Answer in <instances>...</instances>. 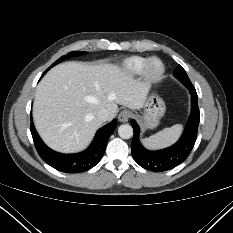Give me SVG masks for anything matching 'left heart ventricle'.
Masks as SVG:
<instances>
[{"mask_svg": "<svg viewBox=\"0 0 233 233\" xmlns=\"http://www.w3.org/2000/svg\"><path fill=\"white\" fill-rule=\"evenodd\" d=\"M152 69L154 70V71H156V70H158V68H159V64L158 63H156V62H154L153 64H152Z\"/></svg>", "mask_w": 233, "mask_h": 233, "instance_id": "obj_1", "label": "left heart ventricle"}]
</instances>
